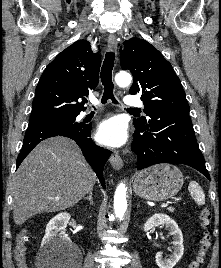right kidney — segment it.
<instances>
[{"label": "right kidney", "mask_w": 221, "mask_h": 268, "mask_svg": "<svg viewBox=\"0 0 221 268\" xmlns=\"http://www.w3.org/2000/svg\"><path fill=\"white\" fill-rule=\"evenodd\" d=\"M70 220L69 213H60L53 217L46 226L45 236L42 240V246L50 247L57 241L70 243V238L64 233L65 228ZM58 236L59 238H55Z\"/></svg>", "instance_id": "ca27d5eb"}]
</instances>
